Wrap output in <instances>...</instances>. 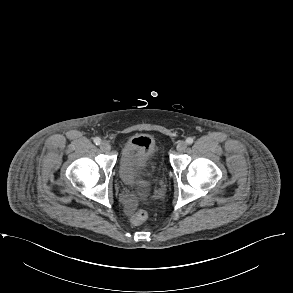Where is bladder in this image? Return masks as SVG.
Segmentation results:
<instances>
[{"instance_id":"31cf9c89","label":"bladder","mask_w":293,"mask_h":293,"mask_svg":"<svg viewBox=\"0 0 293 293\" xmlns=\"http://www.w3.org/2000/svg\"><path fill=\"white\" fill-rule=\"evenodd\" d=\"M158 149L152 145H134L127 143L121 152L119 176L122 181L133 184L135 179L146 171L152 162L157 161ZM156 171H160L157 163Z\"/></svg>"}]
</instances>
